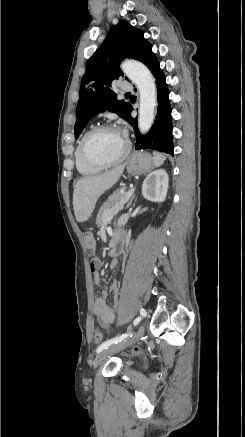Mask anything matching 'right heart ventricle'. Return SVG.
<instances>
[{
	"label": "right heart ventricle",
	"instance_id": "1",
	"mask_svg": "<svg viewBox=\"0 0 245 437\" xmlns=\"http://www.w3.org/2000/svg\"><path fill=\"white\" fill-rule=\"evenodd\" d=\"M80 140L78 141L74 152L75 166L77 171L82 175L98 174L102 168L92 166L83 159L80 152Z\"/></svg>",
	"mask_w": 245,
	"mask_h": 437
}]
</instances>
